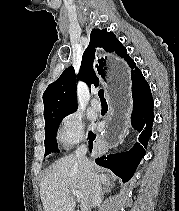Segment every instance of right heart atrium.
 <instances>
[{"mask_svg":"<svg viewBox=\"0 0 179 211\" xmlns=\"http://www.w3.org/2000/svg\"><path fill=\"white\" fill-rule=\"evenodd\" d=\"M85 122L78 112L65 115L57 131V140L64 149H70L85 138Z\"/></svg>","mask_w":179,"mask_h":211,"instance_id":"right-heart-atrium-1","label":"right heart atrium"}]
</instances>
